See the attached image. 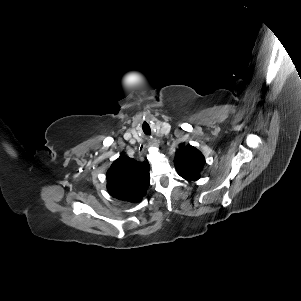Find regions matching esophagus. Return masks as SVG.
Instances as JSON below:
<instances>
[{
	"label": "esophagus",
	"instance_id": "obj_1",
	"mask_svg": "<svg viewBox=\"0 0 301 301\" xmlns=\"http://www.w3.org/2000/svg\"><path fill=\"white\" fill-rule=\"evenodd\" d=\"M147 145L151 147H156L158 146L157 140L156 139H148Z\"/></svg>",
	"mask_w": 301,
	"mask_h": 301
}]
</instances>
